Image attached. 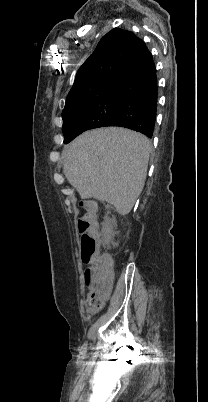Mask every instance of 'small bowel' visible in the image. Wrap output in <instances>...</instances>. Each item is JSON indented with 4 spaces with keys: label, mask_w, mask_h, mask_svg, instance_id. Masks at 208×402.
Masks as SVG:
<instances>
[{
    "label": "small bowel",
    "mask_w": 208,
    "mask_h": 402,
    "mask_svg": "<svg viewBox=\"0 0 208 402\" xmlns=\"http://www.w3.org/2000/svg\"><path fill=\"white\" fill-rule=\"evenodd\" d=\"M102 256V255H99ZM87 273V271H86ZM98 298H100L101 300H103V302L107 301L110 297V295H96Z\"/></svg>",
    "instance_id": "obj_1"
}]
</instances>
